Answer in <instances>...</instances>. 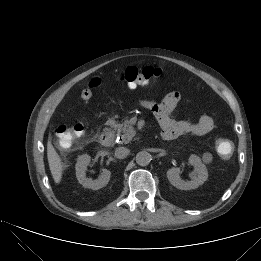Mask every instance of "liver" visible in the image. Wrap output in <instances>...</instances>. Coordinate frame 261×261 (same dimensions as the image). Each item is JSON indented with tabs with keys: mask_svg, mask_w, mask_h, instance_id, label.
Instances as JSON below:
<instances>
[{
	"mask_svg": "<svg viewBox=\"0 0 261 261\" xmlns=\"http://www.w3.org/2000/svg\"><path fill=\"white\" fill-rule=\"evenodd\" d=\"M47 158L54 182L59 184L62 179L63 165L50 140L47 143Z\"/></svg>",
	"mask_w": 261,
	"mask_h": 261,
	"instance_id": "liver-1",
	"label": "liver"
}]
</instances>
